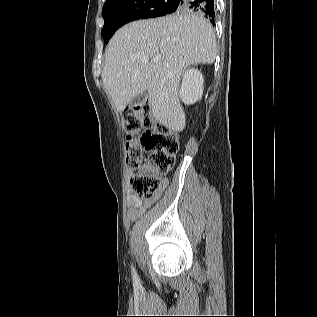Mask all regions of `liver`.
I'll use <instances>...</instances> for the list:
<instances>
[{"mask_svg":"<svg viewBox=\"0 0 317 317\" xmlns=\"http://www.w3.org/2000/svg\"><path fill=\"white\" fill-rule=\"evenodd\" d=\"M216 54L212 25L199 13L134 21L107 45L102 80L118 112L146 91L154 118L180 132L186 126L181 75L190 65L212 64Z\"/></svg>","mask_w":317,"mask_h":317,"instance_id":"obj_1","label":"liver"}]
</instances>
